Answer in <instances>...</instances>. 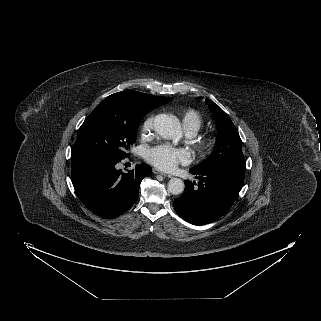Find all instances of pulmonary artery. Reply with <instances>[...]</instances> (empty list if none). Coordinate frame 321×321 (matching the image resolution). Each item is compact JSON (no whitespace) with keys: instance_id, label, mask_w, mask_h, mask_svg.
Listing matches in <instances>:
<instances>
[{"instance_id":"pulmonary-artery-1","label":"pulmonary artery","mask_w":321,"mask_h":321,"mask_svg":"<svg viewBox=\"0 0 321 321\" xmlns=\"http://www.w3.org/2000/svg\"><path fill=\"white\" fill-rule=\"evenodd\" d=\"M192 134L191 133H188V136H191Z\"/></svg>"}]
</instances>
